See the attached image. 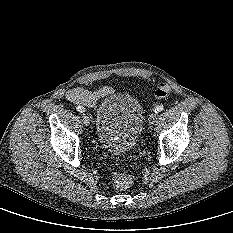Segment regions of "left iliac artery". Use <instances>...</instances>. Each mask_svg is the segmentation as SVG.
Returning <instances> with one entry per match:
<instances>
[{
  "label": "left iliac artery",
  "instance_id": "1",
  "mask_svg": "<svg viewBox=\"0 0 233 233\" xmlns=\"http://www.w3.org/2000/svg\"><path fill=\"white\" fill-rule=\"evenodd\" d=\"M163 109H164L163 105H158V106L155 107L154 112L158 113V112H161Z\"/></svg>",
  "mask_w": 233,
  "mask_h": 233
}]
</instances>
